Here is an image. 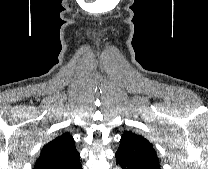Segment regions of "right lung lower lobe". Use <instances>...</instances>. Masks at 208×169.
I'll use <instances>...</instances> for the list:
<instances>
[{
    "mask_svg": "<svg viewBox=\"0 0 208 169\" xmlns=\"http://www.w3.org/2000/svg\"><path fill=\"white\" fill-rule=\"evenodd\" d=\"M65 169H82L80 160L76 161V162L73 163L71 166L66 167Z\"/></svg>",
    "mask_w": 208,
    "mask_h": 169,
    "instance_id": "right-lung-lower-lobe-1",
    "label": "right lung lower lobe"
}]
</instances>
